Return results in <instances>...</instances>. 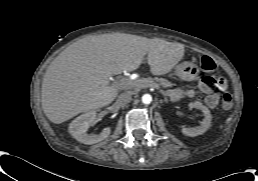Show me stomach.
<instances>
[{"mask_svg": "<svg viewBox=\"0 0 258 181\" xmlns=\"http://www.w3.org/2000/svg\"><path fill=\"white\" fill-rule=\"evenodd\" d=\"M176 74L185 80L193 79L198 75V68L191 62H183L176 66Z\"/></svg>", "mask_w": 258, "mask_h": 181, "instance_id": "obj_1", "label": "stomach"}]
</instances>
